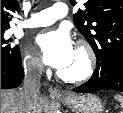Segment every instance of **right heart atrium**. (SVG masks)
Instances as JSON below:
<instances>
[{
    "mask_svg": "<svg viewBox=\"0 0 123 113\" xmlns=\"http://www.w3.org/2000/svg\"><path fill=\"white\" fill-rule=\"evenodd\" d=\"M24 67L28 72L39 73L42 69V63L35 55L27 53L24 57Z\"/></svg>",
    "mask_w": 123,
    "mask_h": 113,
    "instance_id": "right-heart-atrium-1",
    "label": "right heart atrium"
}]
</instances>
